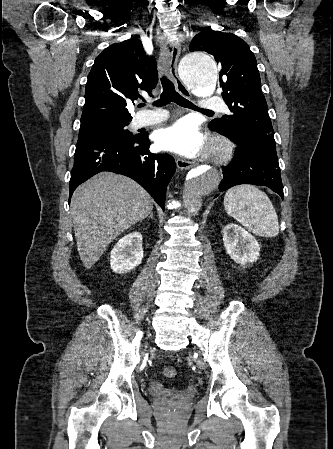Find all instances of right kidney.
<instances>
[{
    "instance_id": "obj_1",
    "label": "right kidney",
    "mask_w": 333,
    "mask_h": 449,
    "mask_svg": "<svg viewBox=\"0 0 333 449\" xmlns=\"http://www.w3.org/2000/svg\"><path fill=\"white\" fill-rule=\"evenodd\" d=\"M142 259V235L140 232H132L121 238L113 247L110 267L116 273H124L139 266Z\"/></svg>"
}]
</instances>
